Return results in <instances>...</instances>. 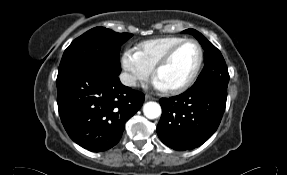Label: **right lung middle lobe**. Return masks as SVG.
<instances>
[{"instance_id":"right-lung-middle-lobe-1","label":"right lung middle lobe","mask_w":287,"mask_h":175,"mask_svg":"<svg viewBox=\"0 0 287 175\" xmlns=\"http://www.w3.org/2000/svg\"><path fill=\"white\" fill-rule=\"evenodd\" d=\"M131 36L130 33H116L104 27H95L87 31L76 38L65 50L58 75L81 67L119 75L121 72L120 48Z\"/></svg>"}]
</instances>
